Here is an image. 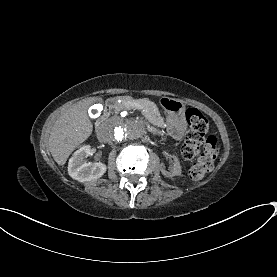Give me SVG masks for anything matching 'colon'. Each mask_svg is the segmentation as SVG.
I'll list each match as a JSON object with an SVG mask.
<instances>
[{"mask_svg": "<svg viewBox=\"0 0 277 277\" xmlns=\"http://www.w3.org/2000/svg\"><path fill=\"white\" fill-rule=\"evenodd\" d=\"M188 132L181 147V155L186 160H193L189 175L193 180L202 179L212 166L217 138L207 135L208 119L199 110L188 108L185 112Z\"/></svg>", "mask_w": 277, "mask_h": 277, "instance_id": "colon-1", "label": "colon"}]
</instances>
